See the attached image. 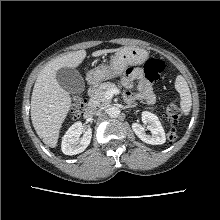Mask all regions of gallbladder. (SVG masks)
Returning <instances> with one entry per match:
<instances>
[{
    "label": "gallbladder",
    "instance_id": "bac80fb5",
    "mask_svg": "<svg viewBox=\"0 0 220 220\" xmlns=\"http://www.w3.org/2000/svg\"><path fill=\"white\" fill-rule=\"evenodd\" d=\"M56 78L60 86L69 93L80 94L84 91V79L75 68L64 67L59 69Z\"/></svg>",
    "mask_w": 220,
    "mask_h": 220
}]
</instances>
